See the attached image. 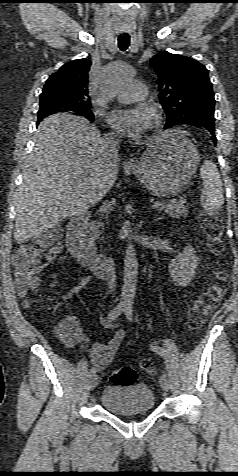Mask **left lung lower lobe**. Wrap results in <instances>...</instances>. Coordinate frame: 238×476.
I'll return each instance as SVG.
<instances>
[{
	"label": "left lung lower lobe",
	"instance_id": "0a47b994",
	"mask_svg": "<svg viewBox=\"0 0 238 476\" xmlns=\"http://www.w3.org/2000/svg\"><path fill=\"white\" fill-rule=\"evenodd\" d=\"M194 124L203 126L208 131H210V133L212 134L211 139L213 140L214 144H216L217 139H216V136H215V133H214V131H215L214 121L213 122L212 121H202V122H197V123H194ZM165 129H167V128H165Z\"/></svg>",
	"mask_w": 238,
	"mask_h": 476
}]
</instances>
